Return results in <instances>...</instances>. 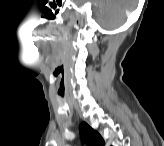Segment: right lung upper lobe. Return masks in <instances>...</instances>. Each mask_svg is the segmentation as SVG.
Instances as JSON below:
<instances>
[{"mask_svg": "<svg viewBox=\"0 0 164 146\" xmlns=\"http://www.w3.org/2000/svg\"><path fill=\"white\" fill-rule=\"evenodd\" d=\"M82 140L89 142L90 146H104L103 138L93 130L87 123H83L80 127Z\"/></svg>", "mask_w": 164, "mask_h": 146, "instance_id": "obj_1", "label": "right lung upper lobe"}]
</instances>
